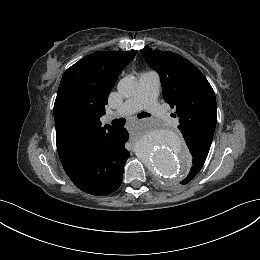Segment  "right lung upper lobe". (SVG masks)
Listing matches in <instances>:
<instances>
[{
	"label": "right lung upper lobe",
	"mask_w": 260,
	"mask_h": 260,
	"mask_svg": "<svg viewBox=\"0 0 260 260\" xmlns=\"http://www.w3.org/2000/svg\"><path fill=\"white\" fill-rule=\"evenodd\" d=\"M137 50L99 51L90 54L64 73L54 104L56 145L65 162L92 142L115 132L102 126L100 117L115 82Z\"/></svg>",
	"instance_id": "1"
}]
</instances>
